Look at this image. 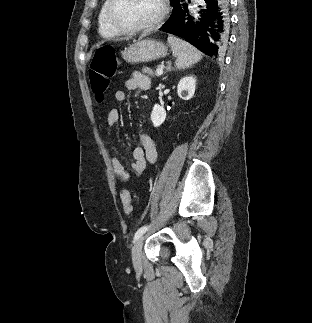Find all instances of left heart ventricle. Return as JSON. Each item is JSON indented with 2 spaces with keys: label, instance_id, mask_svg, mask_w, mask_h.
I'll return each mask as SVG.
<instances>
[{
  "label": "left heart ventricle",
  "instance_id": "left-heart-ventricle-1",
  "mask_svg": "<svg viewBox=\"0 0 312 323\" xmlns=\"http://www.w3.org/2000/svg\"><path fill=\"white\" fill-rule=\"evenodd\" d=\"M147 14H161L159 0H115L112 7L113 18L122 22H146Z\"/></svg>",
  "mask_w": 312,
  "mask_h": 323
}]
</instances>
